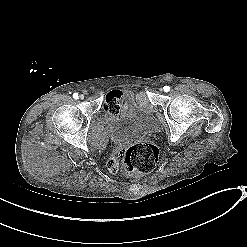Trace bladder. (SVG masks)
<instances>
[{"mask_svg":"<svg viewBox=\"0 0 247 247\" xmlns=\"http://www.w3.org/2000/svg\"><path fill=\"white\" fill-rule=\"evenodd\" d=\"M144 96L129 92L115 101V112L110 114V121L119 133L117 143H130L134 140L147 139L157 130L153 107L145 104Z\"/></svg>","mask_w":247,"mask_h":247,"instance_id":"obj_1","label":"bladder"}]
</instances>
